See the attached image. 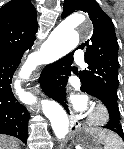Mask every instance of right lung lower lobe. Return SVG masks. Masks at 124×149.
I'll return each instance as SVG.
<instances>
[{
	"label": "right lung lower lobe",
	"mask_w": 124,
	"mask_h": 149,
	"mask_svg": "<svg viewBox=\"0 0 124 149\" xmlns=\"http://www.w3.org/2000/svg\"><path fill=\"white\" fill-rule=\"evenodd\" d=\"M26 50L0 54V134L14 136L24 143L28 137L29 113L14 97L10 84Z\"/></svg>",
	"instance_id": "right-lung-lower-lobe-1"
}]
</instances>
